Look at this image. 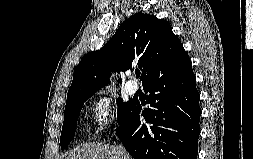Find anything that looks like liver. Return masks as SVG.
Masks as SVG:
<instances>
[{
	"instance_id": "1",
	"label": "liver",
	"mask_w": 253,
	"mask_h": 159,
	"mask_svg": "<svg viewBox=\"0 0 253 159\" xmlns=\"http://www.w3.org/2000/svg\"><path fill=\"white\" fill-rule=\"evenodd\" d=\"M66 159H132L118 146L83 144L75 148Z\"/></svg>"
}]
</instances>
